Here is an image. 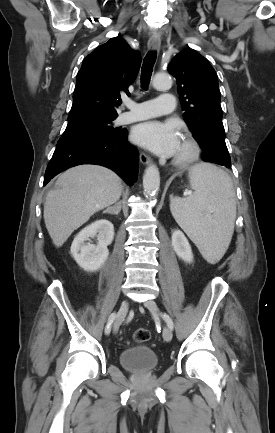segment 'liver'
<instances>
[{
  "label": "liver",
  "instance_id": "liver-1",
  "mask_svg": "<svg viewBox=\"0 0 275 433\" xmlns=\"http://www.w3.org/2000/svg\"><path fill=\"white\" fill-rule=\"evenodd\" d=\"M122 180L99 165H79L62 173L44 203V221L56 247L89 218L114 204L122 193Z\"/></svg>",
  "mask_w": 275,
  "mask_h": 433
}]
</instances>
